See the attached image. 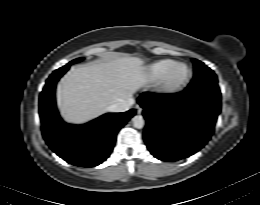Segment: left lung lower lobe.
Segmentation results:
<instances>
[{"label": "left lung lower lobe", "instance_id": "obj_1", "mask_svg": "<svg viewBox=\"0 0 260 205\" xmlns=\"http://www.w3.org/2000/svg\"><path fill=\"white\" fill-rule=\"evenodd\" d=\"M138 103L147 121L144 141L162 161L184 159L200 150L221 110L220 95L188 88L169 95L143 93Z\"/></svg>", "mask_w": 260, "mask_h": 205}]
</instances>
